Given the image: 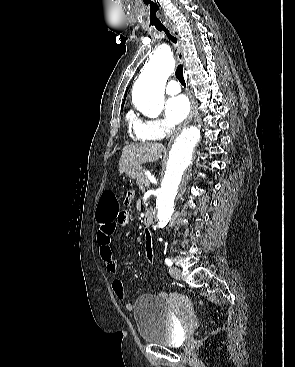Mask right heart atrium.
<instances>
[{
	"label": "right heart atrium",
	"instance_id": "d8ad5b80",
	"mask_svg": "<svg viewBox=\"0 0 295 367\" xmlns=\"http://www.w3.org/2000/svg\"><path fill=\"white\" fill-rule=\"evenodd\" d=\"M141 130L149 139H161L173 132V127L164 119L154 118L142 122Z\"/></svg>",
	"mask_w": 295,
	"mask_h": 367
}]
</instances>
